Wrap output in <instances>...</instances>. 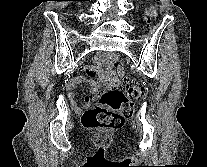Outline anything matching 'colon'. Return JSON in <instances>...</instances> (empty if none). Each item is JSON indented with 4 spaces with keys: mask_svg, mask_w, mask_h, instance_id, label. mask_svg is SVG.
I'll use <instances>...</instances> for the list:
<instances>
[{
    "mask_svg": "<svg viewBox=\"0 0 207 167\" xmlns=\"http://www.w3.org/2000/svg\"><path fill=\"white\" fill-rule=\"evenodd\" d=\"M146 13L154 17L156 8L148 7ZM111 65L117 63L114 55H110ZM109 87L106 88L96 103L82 117L84 127L88 129L118 128L133 113V101L140 99L145 87L127 79L117 77L113 72L108 75Z\"/></svg>",
    "mask_w": 207,
    "mask_h": 167,
    "instance_id": "1",
    "label": "colon"
}]
</instances>
